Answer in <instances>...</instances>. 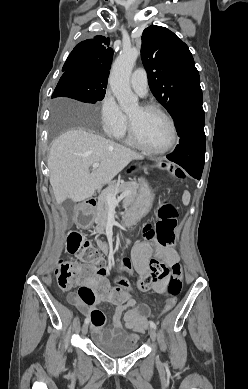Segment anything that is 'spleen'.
<instances>
[{"mask_svg": "<svg viewBox=\"0 0 248 389\" xmlns=\"http://www.w3.org/2000/svg\"><path fill=\"white\" fill-rule=\"evenodd\" d=\"M190 197H191L190 193L188 191H184L183 196H182V202L184 205L187 206L189 204Z\"/></svg>", "mask_w": 248, "mask_h": 389, "instance_id": "1", "label": "spleen"}]
</instances>
